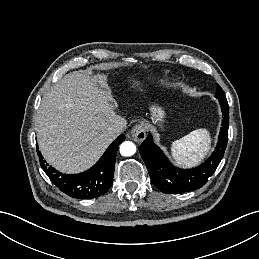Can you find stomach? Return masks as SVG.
I'll return each mask as SVG.
<instances>
[{"mask_svg":"<svg viewBox=\"0 0 259 259\" xmlns=\"http://www.w3.org/2000/svg\"><path fill=\"white\" fill-rule=\"evenodd\" d=\"M150 111H151V116L154 123H161L164 121L165 112L161 107L152 105L150 107Z\"/></svg>","mask_w":259,"mask_h":259,"instance_id":"1","label":"stomach"}]
</instances>
